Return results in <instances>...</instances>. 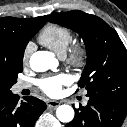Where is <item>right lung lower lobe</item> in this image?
<instances>
[{
    "label": "right lung lower lobe",
    "instance_id": "98d812e1",
    "mask_svg": "<svg viewBox=\"0 0 127 127\" xmlns=\"http://www.w3.org/2000/svg\"><path fill=\"white\" fill-rule=\"evenodd\" d=\"M24 99L19 102V96L12 92L0 97V127H34L46 104L32 96Z\"/></svg>",
    "mask_w": 127,
    "mask_h": 127
}]
</instances>
